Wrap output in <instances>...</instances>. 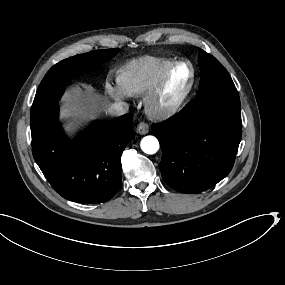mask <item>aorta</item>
<instances>
[{
  "label": "aorta",
  "instance_id": "obj_1",
  "mask_svg": "<svg viewBox=\"0 0 285 285\" xmlns=\"http://www.w3.org/2000/svg\"><path fill=\"white\" fill-rule=\"evenodd\" d=\"M141 149L146 154H155L159 149V142L154 136H146L141 140Z\"/></svg>",
  "mask_w": 285,
  "mask_h": 285
}]
</instances>
